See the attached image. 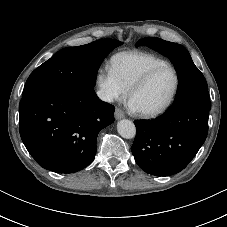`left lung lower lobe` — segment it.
I'll return each instance as SVG.
<instances>
[{
    "mask_svg": "<svg viewBox=\"0 0 227 227\" xmlns=\"http://www.w3.org/2000/svg\"><path fill=\"white\" fill-rule=\"evenodd\" d=\"M209 110L183 107L166 110L151 121H135L132 145L136 163L155 176L183 170L195 157L208 133Z\"/></svg>",
    "mask_w": 227,
    "mask_h": 227,
    "instance_id": "0a47b994",
    "label": "left lung lower lobe"
}]
</instances>
